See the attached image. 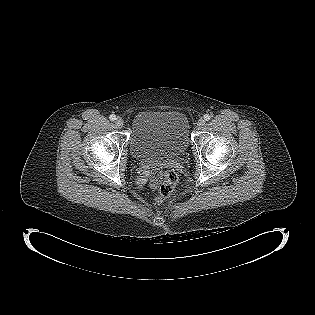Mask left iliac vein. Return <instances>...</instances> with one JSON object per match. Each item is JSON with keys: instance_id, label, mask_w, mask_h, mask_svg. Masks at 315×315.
Returning <instances> with one entry per match:
<instances>
[{"instance_id": "1", "label": "left iliac vein", "mask_w": 315, "mask_h": 315, "mask_svg": "<svg viewBox=\"0 0 315 315\" xmlns=\"http://www.w3.org/2000/svg\"><path fill=\"white\" fill-rule=\"evenodd\" d=\"M205 125V120L204 119H199L197 122V127L198 129H201Z\"/></svg>"}]
</instances>
